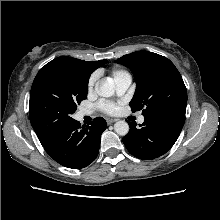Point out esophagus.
Wrapping results in <instances>:
<instances>
[{
    "instance_id": "34e87169",
    "label": "esophagus",
    "mask_w": 220,
    "mask_h": 220,
    "mask_svg": "<svg viewBox=\"0 0 220 220\" xmlns=\"http://www.w3.org/2000/svg\"><path fill=\"white\" fill-rule=\"evenodd\" d=\"M116 121H117V119H110V118H108V119L106 120V122H107L108 125H110V124H112V123H114V122H116Z\"/></svg>"
}]
</instances>
